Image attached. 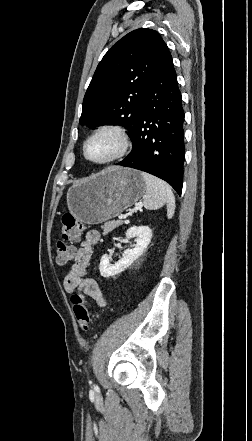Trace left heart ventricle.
Here are the masks:
<instances>
[{
    "mask_svg": "<svg viewBox=\"0 0 252 441\" xmlns=\"http://www.w3.org/2000/svg\"><path fill=\"white\" fill-rule=\"evenodd\" d=\"M117 148L118 141L114 136L102 134L88 143L87 154L91 159L102 160L114 154Z\"/></svg>",
    "mask_w": 252,
    "mask_h": 441,
    "instance_id": "left-heart-ventricle-1",
    "label": "left heart ventricle"
}]
</instances>
